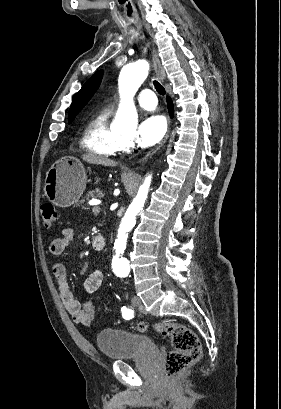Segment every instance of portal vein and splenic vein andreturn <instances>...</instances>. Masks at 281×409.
Returning <instances> with one entry per match:
<instances>
[{
  "mask_svg": "<svg viewBox=\"0 0 281 409\" xmlns=\"http://www.w3.org/2000/svg\"><path fill=\"white\" fill-rule=\"evenodd\" d=\"M92 210H93V216L94 217H99L101 215V212H100L101 209H100L99 206H97V205L94 206Z\"/></svg>",
  "mask_w": 281,
  "mask_h": 409,
  "instance_id": "1",
  "label": "portal vein and splenic vein"
}]
</instances>
